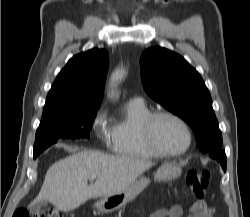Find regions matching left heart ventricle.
<instances>
[{
    "label": "left heart ventricle",
    "mask_w": 250,
    "mask_h": 217,
    "mask_svg": "<svg viewBox=\"0 0 250 217\" xmlns=\"http://www.w3.org/2000/svg\"><path fill=\"white\" fill-rule=\"evenodd\" d=\"M155 136L163 149L172 152L184 149L188 142L184 128L169 118H161L156 122Z\"/></svg>",
    "instance_id": "b2bd125f"
}]
</instances>
